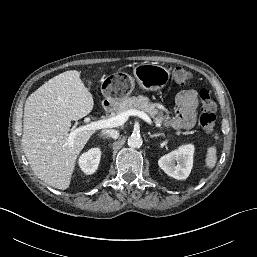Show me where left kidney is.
<instances>
[{"label": "left kidney", "instance_id": "1", "mask_svg": "<svg viewBox=\"0 0 257 257\" xmlns=\"http://www.w3.org/2000/svg\"><path fill=\"white\" fill-rule=\"evenodd\" d=\"M193 154L194 146L192 144L183 145L162 156L158 165L168 176L184 180L189 176L193 167Z\"/></svg>", "mask_w": 257, "mask_h": 257}]
</instances>
